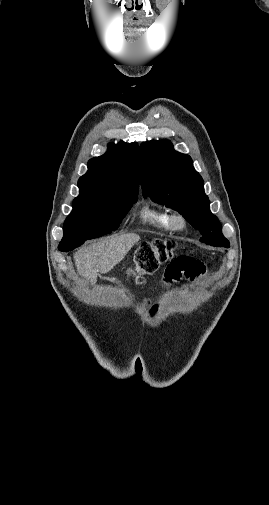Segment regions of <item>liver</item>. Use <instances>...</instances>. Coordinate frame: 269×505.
Listing matches in <instances>:
<instances>
[{
  "label": "liver",
  "mask_w": 269,
  "mask_h": 505,
  "mask_svg": "<svg viewBox=\"0 0 269 505\" xmlns=\"http://www.w3.org/2000/svg\"><path fill=\"white\" fill-rule=\"evenodd\" d=\"M140 239L135 233H127L81 248L74 255L78 272L94 285L98 272L105 274L113 269Z\"/></svg>",
  "instance_id": "liver-1"
}]
</instances>
